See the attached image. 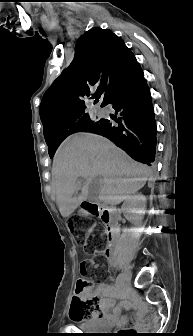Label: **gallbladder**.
Masks as SVG:
<instances>
[{"mask_svg":"<svg viewBox=\"0 0 193 336\" xmlns=\"http://www.w3.org/2000/svg\"><path fill=\"white\" fill-rule=\"evenodd\" d=\"M89 193H90L89 198H92V197H93V194H92L91 190H90Z\"/></svg>","mask_w":193,"mask_h":336,"instance_id":"1","label":"gallbladder"}]
</instances>
